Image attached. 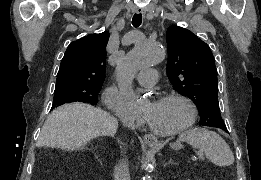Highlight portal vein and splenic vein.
<instances>
[{
	"label": "portal vein and splenic vein",
	"mask_w": 261,
	"mask_h": 180,
	"mask_svg": "<svg viewBox=\"0 0 261 180\" xmlns=\"http://www.w3.org/2000/svg\"><path fill=\"white\" fill-rule=\"evenodd\" d=\"M198 157H199V158H204V157H205V154H204V153H199V154H198Z\"/></svg>",
	"instance_id": "obj_1"
}]
</instances>
